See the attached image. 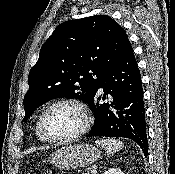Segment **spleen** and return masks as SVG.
I'll list each match as a JSON object with an SVG mask.
<instances>
[{
    "label": "spleen",
    "mask_w": 175,
    "mask_h": 174,
    "mask_svg": "<svg viewBox=\"0 0 175 174\" xmlns=\"http://www.w3.org/2000/svg\"><path fill=\"white\" fill-rule=\"evenodd\" d=\"M95 143L99 146H101L102 148H104L107 153L109 154H114L118 151H120L124 145L120 140H116V139H96Z\"/></svg>",
    "instance_id": "3e777b00"
}]
</instances>
